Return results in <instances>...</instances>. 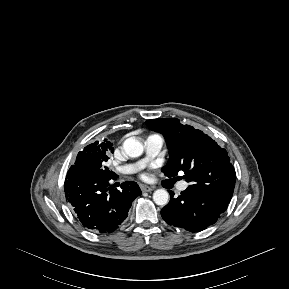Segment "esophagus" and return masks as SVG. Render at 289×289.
<instances>
[{"instance_id":"esophagus-1","label":"esophagus","mask_w":289,"mask_h":289,"mask_svg":"<svg viewBox=\"0 0 289 289\" xmlns=\"http://www.w3.org/2000/svg\"><path fill=\"white\" fill-rule=\"evenodd\" d=\"M140 188H141L142 191H145V192H151V191L154 190V187H150V186H147V185H141Z\"/></svg>"}]
</instances>
